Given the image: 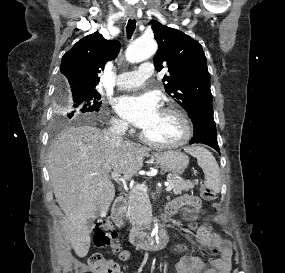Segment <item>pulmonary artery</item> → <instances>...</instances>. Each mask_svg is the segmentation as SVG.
Segmentation results:
<instances>
[{
	"label": "pulmonary artery",
	"mask_w": 285,
	"mask_h": 273,
	"mask_svg": "<svg viewBox=\"0 0 285 273\" xmlns=\"http://www.w3.org/2000/svg\"><path fill=\"white\" fill-rule=\"evenodd\" d=\"M154 73L152 62L142 63L136 71L123 72L116 77L115 85L119 89H132L139 87Z\"/></svg>",
	"instance_id": "e3ab8cb5"
}]
</instances>
